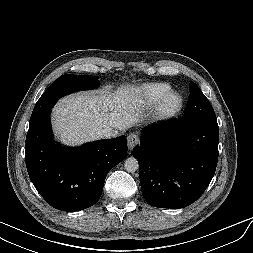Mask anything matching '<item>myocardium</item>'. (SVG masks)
<instances>
[{"label":"myocardium","instance_id":"1","mask_svg":"<svg viewBox=\"0 0 253 253\" xmlns=\"http://www.w3.org/2000/svg\"><path fill=\"white\" fill-rule=\"evenodd\" d=\"M173 98H177V103L175 105L170 104V101ZM183 104V96L179 92L170 91L158 102L155 108V118L162 121L169 120L175 117L181 111Z\"/></svg>","mask_w":253,"mask_h":253}]
</instances>
